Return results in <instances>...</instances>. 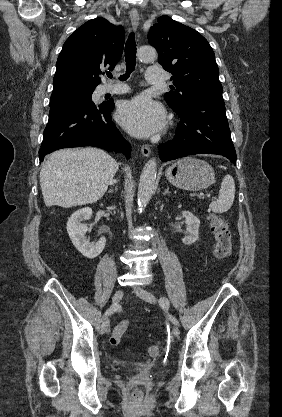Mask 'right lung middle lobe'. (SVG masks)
Returning a JSON list of instances; mask_svg holds the SVG:
<instances>
[{
  "label": "right lung middle lobe",
  "mask_w": 282,
  "mask_h": 417,
  "mask_svg": "<svg viewBox=\"0 0 282 417\" xmlns=\"http://www.w3.org/2000/svg\"><path fill=\"white\" fill-rule=\"evenodd\" d=\"M94 89L76 90L52 94L50 99V107L75 100H91Z\"/></svg>",
  "instance_id": "obj_1"
}]
</instances>
